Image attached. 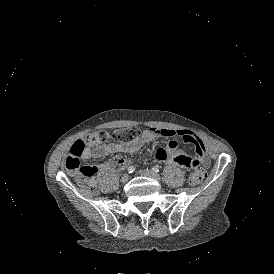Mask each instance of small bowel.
Here are the masks:
<instances>
[{
  "label": "small bowel",
  "mask_w": 274,
  "mask_h": 274,
  "mask_svg": "<svg viewBox=\"0 0 274 274\" xmlns=\"http://www.w3.org/2000/svg\"><path fill=\"white\" fill-rule=\"evenodd\" d=\"M178 137L182 141L192 144L197 153L196 157L185 158L182 161V166L185 169H195L199 165V161L205 166L209 165V159L205 156L206 147L204 142L191 131L188 130H174L162 127H148L144 129L141 136L130 143L110 142L96 145L92 148H86L82 153V158L87 160L92 157L100 158L106 155L122 153V152H136L145 143H150L158 138H172ZM156 157L159 160L167 159L170 165L177 166L180 164L177 159L180 157V141L177 138H172L169 141V148H162L156 152ZM129 164V161L123 158L112 162L101 164L98 167V173H105L113 169H123Z\"/></svg>",
  "instance_id": "obj_1"
}]
</instances>
